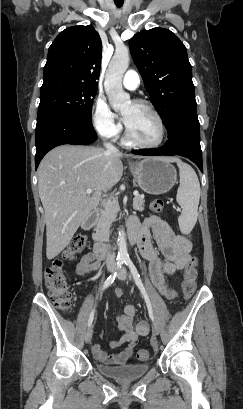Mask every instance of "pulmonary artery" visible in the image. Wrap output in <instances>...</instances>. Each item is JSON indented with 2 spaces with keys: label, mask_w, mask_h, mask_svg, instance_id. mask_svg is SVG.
I'll list each match as a JSON object with an SVG mask.
<instances>
[{
  "label": "pulmonary artery",
  "mask_w": 243,
  "mask_h": 409,
  "mask_svg": "<svg viewBox=\"0 0 243 409\" xmlns=\"http://www.w3.org/2000/svg\"><path fill=\"white\" fill-rule=\"evenodd\" d=\"M123 86L129 90H135L140 84V76L134 70H128L123 77Z\"/></svg>",
  "instance_id": "1"
}]
</instances>
